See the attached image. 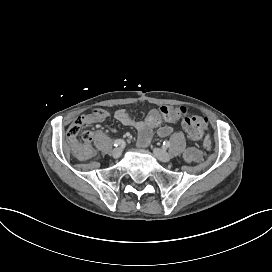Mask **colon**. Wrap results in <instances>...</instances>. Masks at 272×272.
Here are the masks:
<instances>
[{"instance_id": "5ec220e1", "label": "colon", "mask_w": 272, "mask_h": 272, "mask_svg": "<svg viewBox=\"0 0 272 272\" xmlns=\"http://www.w3.org/2000/svg\"><path fill=\"white\" fill-rule=\"evenodd\" d=\"M181 112L185 113L186 109L181 107ZM79 121L75 122L69 129L68 135L71 137L77 136L79 133ZM207 125V120L205 117L193 116L186 117L183 120V127L186 130L187 134L193 140H200L204 134V130ZM82 137L85 141H90V134L85 132L82 134Z\"/></svg>"}]
</instances>
